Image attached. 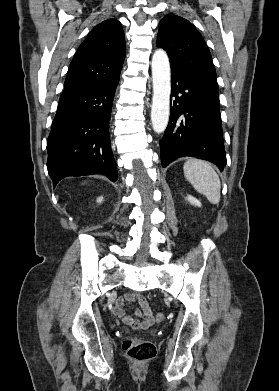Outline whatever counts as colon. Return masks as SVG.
<instances>
[{"instance_id": "colon-1", "label": "colon", "mask_w": 279, "mask_h": 391, "mask_svg": "<svg viewBox=\"0 0 279 391\" xmlns=\"http://www.w3.org/2000/svg\"><path fill=\"white\" fill-rule=\"evenodd\" d=\"M155 319L157 322H161L164 320V315L158 313ZM123 349L128 357L137 362L150 360L156 354L155 345L144 339H125L123 341Z\"/></svg>"}]
</instances>
